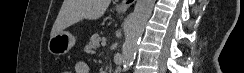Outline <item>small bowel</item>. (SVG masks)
Returning <instances> with one entry per match:
<instances>
[{"instance_id": "small-bowel-1", "label": "small bowel", "mask_w": 244, "mask_h": 73, "mask_svg": "<svg viewBox=\"0 0 244 73\" xmlns=\"http://www.w3.org/2000/svg\"><path fill=\"white\" fill-rule=\"evenodd\" d=\"M75 72L76 73H89V67L85 62H78L75 65Z\"/></svg>"}]
</instances>
